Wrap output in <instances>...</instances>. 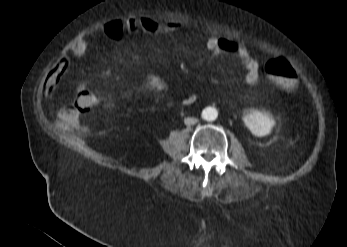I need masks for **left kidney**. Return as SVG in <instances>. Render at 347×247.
I'll return each mask as SVG.
<instances>
[{
  "instance_id": "left-kidney-1",
  "label": "left kidney",
  "mask_w": 347,
  "mask_h": 247,
  "mask_svg": "<svg viewBox=\"0 0 347 247\" xmlns=\"http://www.w3.org/2000/svg\"><path fill=\"white\" fill-rule=\"evenodd\" d=\"M243 121L251 133L258 137L268 135L275 125L272 114L264 110H254L246 113Z\"/></svg>"
}]
</instances>
